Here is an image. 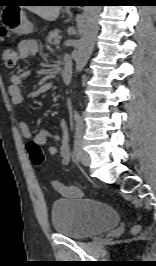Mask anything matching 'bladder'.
<instances>
[{"label":"bladder","instance_id":"1","mask_svg":"<svg viewBox=\"0 0 156 266\" xmlns=\"http://www.w3.org/2000/svg\"><path fill=\"white\" fill-rule=\"evenodd\" d=\"M52 226L56 233L85 239L104 233L119 222L110 205L87 198L60 199L51 208Z\"/></svg>","mask_w":156,"mask_h":266}]
</instances>
